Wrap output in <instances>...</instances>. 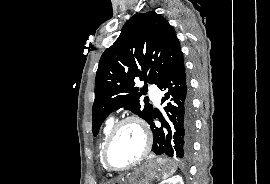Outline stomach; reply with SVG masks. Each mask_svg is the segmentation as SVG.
Segmentation results:
<instances>
[{
    "instance_id": "1",
    "label": "stomach",
    "mask_w": 270,
    "mask_h": 184,
    "mask_svg": "<svg viewBox=\"0 0 270 184\" xmlns=\"http://www.w3.org/2000/svg\"><path fill=\"white\" fill-rule=\"evenodd\" d=\"M174 162L165 159L148 160L133 172L122 177L118 184H150L175 172Z\"/></svg>"
}]
</instances>
